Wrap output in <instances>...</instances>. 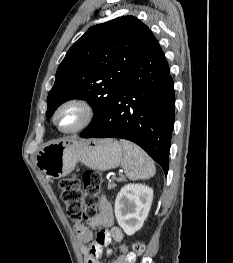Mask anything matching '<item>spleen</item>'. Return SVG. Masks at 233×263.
I'll list each match as a JSON object with an SVG mask.
<instances>
[{"mask_svg": "<svg viewBox=\"0 0 233 263\" xmlns=\"http://www.w3.org/2000/svg\"><path fill=\"white\" fill-rule=\"evenodd\" d=\"M124 149L122 168L130 180L148 179L154 176L156 168L152 159L137 145L120 140Z\"/></svg>", "mask_w": 233, "mask_h": 263, "instance_id": "obj_1", "label": "spleen"}]
</instances>
